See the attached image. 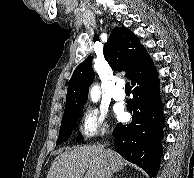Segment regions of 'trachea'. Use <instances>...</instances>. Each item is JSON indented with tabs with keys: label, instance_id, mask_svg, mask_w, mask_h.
Returning <instances> with one entry per match:
<instances>
[{
	"label": "trachea",
	"instance_id": "trachea-1",
	"mask_svg": "<svg viewBox=\"0 0 194 178\" xmlns=\"http://www.w3.org/2000/svg\"><path fill=\"white\" fill-rule=\"evenodd\" d=\"M130 91H131V86H130V83L127 82V83L125 84V92H130Z\"/></svg>",
	"mask_w": 194,
	"mask_h": 178
}]
</instances>
